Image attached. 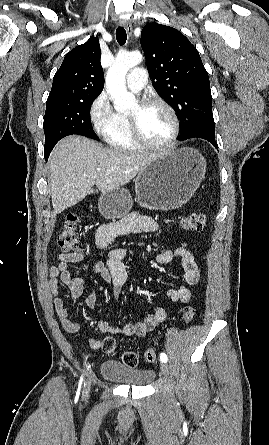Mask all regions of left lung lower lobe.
Returning a JSON list of instances; mask_svg holds the SVG:
<instances>
[{"label":"left lung lower lobe","mask_w":269,"mask_h":445,"mask_svg":"<svg viewBox=\"0 0 269 445\" xmlns=\"http://www.w3.org/2000/svg\"><path fill=\"white\" fill-rule=\"evenodd\" d=\"M193 137L205 139V140L209 141L215 148H217L215 134H213V133H197V134H194L191 138H193Z\"/></svg>","instance_id":"1"}]
</instances>
